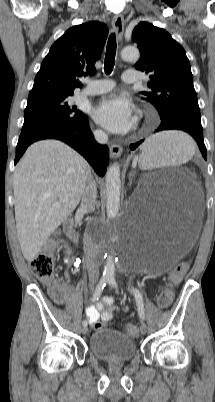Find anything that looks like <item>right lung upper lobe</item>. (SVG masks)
Here are the masks:
<instances>
[{
  "label": "right lung upper lobe",
  "mask_w": 215,
  "mask_h": 402,
  "mask_svg": "<svg viewBox=\"0 0 215 402\" xmlns=\"http://www.w3.org/2000/svg\"><path fill=\"white\" fill-rule=\"evenodd\" d=\"M108 29L90 21L68 29L50 48L42 61L29 97L42 94L72 95L82 84L79 77L94 75Z\"/></svg>",
  "instance_id": "right-lung-upper-lobe-1"
}]
</instances>
